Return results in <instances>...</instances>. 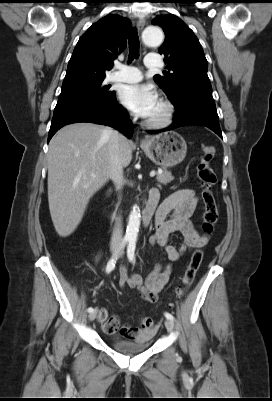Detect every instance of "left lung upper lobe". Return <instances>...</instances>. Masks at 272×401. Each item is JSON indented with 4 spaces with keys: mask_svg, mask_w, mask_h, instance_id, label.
<instances>
[{
    "mask_svg": "<svg viewBox=\"0 0 272 401\" xmlns=\"http://www.w3.org/2000/svg\"><path fill=\"white\" fill-rule=\"evenodd\" d=\"M152 24L159 25L165 33L159 53L165 56L169 70L163 75H155L154 80L173 105L187 97L212 98L208 62L193 31L173 14L157 16Z\"/></svg>",
    "mask_w": 272,
    "mask_h": 401,
    "instance_id": "obj_1",
    "label": "left lung upper lobe"
}]
</instances>
